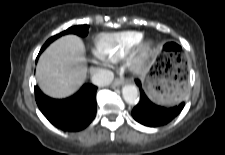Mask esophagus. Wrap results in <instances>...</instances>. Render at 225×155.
I'll use <instances>...</instances> for the list:
<instances>
[{
	"label": "esophagus",
	"mask_w": 225,
	"mask_h": 155,
	"mask_svg": "<svg viewBox=\"0 0 225 155\" xmlns=\"http://www.w3.org/2000/svg\"><path fill=\"white\" fill-rule=\"evenodd\" d=\"M123 83H124V81H123L122 79H116V80L113 82L112 86H113V87H119V86L123 85Z\"/></svg>",
	"instance_id": "34e87169"
}]
</instances>
